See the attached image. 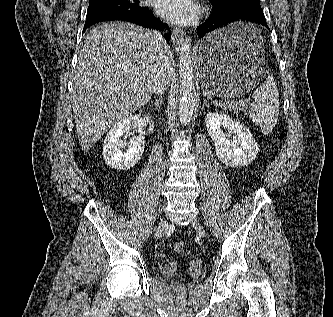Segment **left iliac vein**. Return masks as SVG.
Returning <instances> with one entry per match:
<instances>
[{
    "instance_id": "left-iliac-vein-1",
    "label": "left iliac vein",
    "mask_w": 333,
    "mask_h": 317,
    "mask_svg": "<svg viewBox=\"0 0 333 317\" xmlns=\"http://www.w3.org/2000/svg\"><path fill=\"white\" fill-rule=\"evenodd\" d=\"M192 224L201 236H205L204 227L199 222L194 221V222H192Z\"/></svg>"
}]
</instances>
